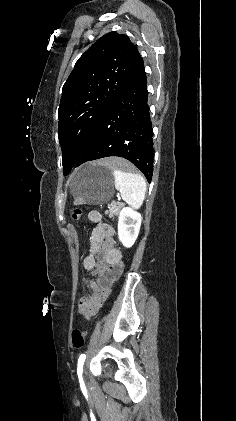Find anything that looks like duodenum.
I'll return each mask as SVG.
<instances>
[{
    "mask_svg": "<svg viewBox=\"0 0 236 421\" xmlns=\"http://www.w3.org/2000/svg\"><path fill=\"white\" fill-rule=\"evenodd\" d=\"M97 255L100 258L97 287L92 296L83 301V307L89 315L99 310L109 295L111 285L121 273V254L110 243L102 244ZM91 260H94V256Z\"/></svg>",
    "mask_w": 236,
    "mask_h": 421,
    "instance_id": "duodenum-1",
    "label": "duodenum"
}]
</instances>
